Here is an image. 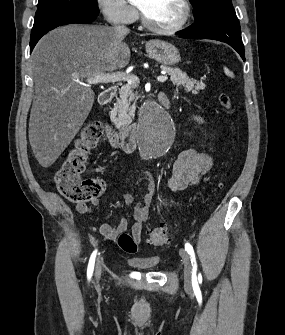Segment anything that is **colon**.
<instances>
[{
  "instance_id": "5ec220e1",
  "label": "colon",
  "mask_w": 285,
  "mask_h": 335,
  "mask_svg": "<svg viewBox=\"0 0 285 335\" xmlns=\"http://www.w3.org/2000/svg\"><path fill=\"white\" fill-rule=\"evenodd\" d=\"M218 100L225 109L231 108L230 97L221 93ZM103 127L99 122H91L80 131L74 147L66 159L54 173V182L60 193L77 204H86L103 191L105 184L99 178H86L83 173L86 168L88 155L99 143ZM220 188L223 187L221 184ZM170 233L165 227H156L147 232L148 242L154 246H163L170 240ZM117 244L126 253H136L138 242L132 234L123 232L117 237Z\"/></svg>"
}]
</instances>
